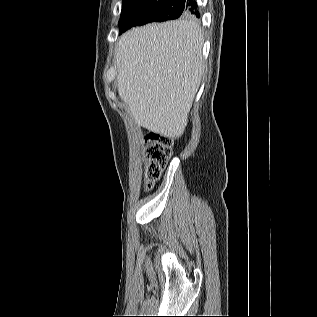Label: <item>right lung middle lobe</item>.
Returning a JSON list of instances; mask_svg holds the SVG:
<instances>
[{"label": "right lung middle lobe", "mask_w": 317, "mask_h": 317, "mask_svg": "<svg viewBox=\"0 0 317 317\" xmlns=\"http://www.w3.org/2000/svg\"><path fill=\"white\" fill-rule=\"evenodd\" d=\"M180 16L192 18L191 14L183 11L179 0H123L119 28L122 33L133 26L162 22Z\"/></svg>", "instance_id": "1"}]
</instances>
